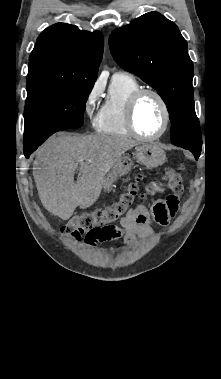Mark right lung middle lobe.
I'll use <instances>...</instances> for the list:
<instances>
[{"mask_svg":"<svg viewBox=\"0 0 221 379\" xmlns=\"http://www.w3.org/2000/svg\"><path fill=\"white\" fill-rule=\"evenodd\" d=\"M93 85L92 82H78L28 94L24 142H44L57 131L81 127Z\"/></svg>","mask_w":221,"mask_h":379,"instance_id":"dd1d6c3e","label":"right lung middle lobe"}]
</instances>
